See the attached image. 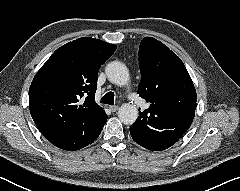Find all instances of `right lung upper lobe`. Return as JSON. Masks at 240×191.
Listing matches in <instances>:
<instances>
[{"label":"right lung upper lobe","mask_w":240,"mask_h":191,"mask_svg":"<svg viewBox=\"0 0 240 191\" xmlns=\"http://www.w3.org/2000/svg\"><path fill=\"white\" fill-rule=\"evenodd\" d=\"M117 46L82 37L58 48L35 75L29 109L46 139L83 133L106 117L95 102L98 70Z\"/></svg>","instance_id":"right-lung-upper-lobe-1"}]
</instances>
